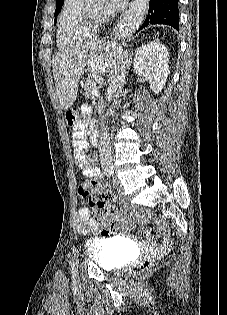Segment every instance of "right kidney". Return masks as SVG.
I'll use <instances>...</instances> for the list:
<instances>
[{
    "label": "right kidney",
    "instance_id": "1",
    "mask_svg": "<svg viewBox=\"0 0 227 315\" xmlns=\"http://www.w3.org/2000/svg\"><path fill=\"white\" fill-rule=\"evenodd\" d=\"M168 60L167 48L158 41L142 45L135 54L134 70L149 81L150 88L155 94L162 91L167 81Z\"/></svg>",
    "mask_w": 227,
    "mask_h": 315
}]
</instances>
